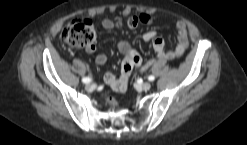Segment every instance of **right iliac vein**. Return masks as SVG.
Listing matches in <instances>:
<instances>
[{
  "label": "right iliac vein",
  "mask_w": 247,
  "mask_h": 145,
  "mask_svg": "<svg viewBox=\"0 0 247 145\" xmlns=\"http://www.w3.org/2000/svg\"><path fill=\"white\" fill-rule=\"evenodd\" d=\"M95 87H96L95 84L90 83V84H87V85L85 86V89H86L87 91H92V90L95 89Z\"/></svg>",
  "instance_id": "63e3f726"
}]
</instances>
